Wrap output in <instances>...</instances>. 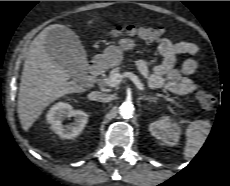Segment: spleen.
Wrapping results in <instances>:
<instances>
[{"mask_svg": "<svg viewBox=\"0 0 230 186\" xmlns=\"http://www.w3.org/2000/svg\"><path fill=\"white\" fill-rule=\"evenodd\" d=\"M208 121H193L186 129V142L184 147V158L190 159L194 157L203 146L210 130Z\"/></svg>", "mask_w": 230, "mask_h": 186, "instance_id": "3e777b00", "label": "spleen"}]
</instances>
